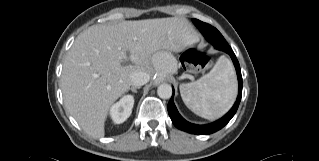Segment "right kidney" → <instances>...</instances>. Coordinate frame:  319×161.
I'll return each instance as SVG.
<instances>
[{"label": "right kidney", "instance_id": "ca27d5eb", "mask_svg": "<svg viewBox=\"0 0 319 161\" xmlns=\"http://www.w3.org/2000/svg\"><path fill=\"white\" fill-rule=\"evenodd\" d=\"M134 97L132 95L123 96L117 103L113 104L110 109V115L114 123H123L132 112Z\"/></svg>", "mask_w": 319, "mask_h": 161}]
</instances>
